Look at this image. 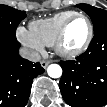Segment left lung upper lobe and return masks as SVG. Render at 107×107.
Wrapping results in <instances>:
<instances>
[{"mask_svg":"<svg viewBox=\"0 0 107 107\" xmlns=\"http://www.w3.org/2000/svg\"><path fill=\"white\" fill-rule=\"evenodd\" d=\"M77 6L90 16L93 22L94 32L107 27V11L88 4H78Z\"/></svg>","mask_w":107,"mask_h":107,"instance_id":"left-lung-upper-lobe-1","label":"left lung upper lobe"}]
</instances>
